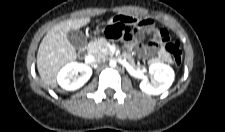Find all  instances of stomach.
Segmentation results:
<instances>
[{"mask_svg":"<svg viewBox=\"0 0 225 132\" xmlns=\"http://www.w3.org/2000/svg\"><path fill=\"white\" fill-rule=\"evenodd\" d=\"M99 33H100V31H99V30L95 31V34H99Z\"/></svg>","mask_w":225,"mask_h":132,"instance_id":"1","label":"stomach"}]
</instances>
